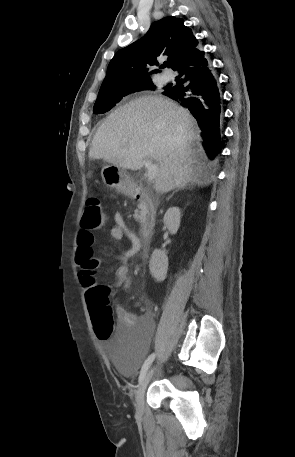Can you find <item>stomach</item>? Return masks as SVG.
I'll return each instance as SVG.
<instances>
[{"instance_id":"stomach-1","label":"stomach","mask_w":295,"mask_h":457,"mask_svg":"<svg viewBox=\"0 0 295 457\" xmlns=\"http://www.w3.org/2000/svg\"><path fill=\"white\" fill-rule=\"evenodd\" d=\"M101 176L107 187L123 194L132 193L133 183L125 169L113 164L105 165L101 170Z\"/></svg>"}]
</instances>
